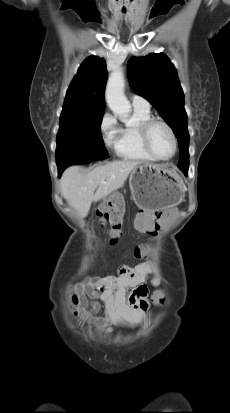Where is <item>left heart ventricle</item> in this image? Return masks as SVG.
I'll return each mask as SVG.
<instances>
[{
	"label": "left heart ventricle",
	"instance_id": "b2bd125f",
	"mask_svg": "<svg viewBox=\"0 0 230 413\" xmlns=\"http://www.w3.org/2000/svg\"><path fill=\"white\" fill-rule=\"evenodd\" d=\"M150 146L153 152L162 158L169 157L173 152V141L165 126L155 124L149 134Z\"/></svg>",
	"mask_w": 230,
	"mask_h": 413
}]
</instances>
